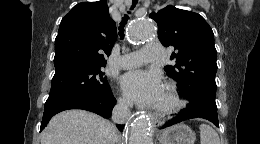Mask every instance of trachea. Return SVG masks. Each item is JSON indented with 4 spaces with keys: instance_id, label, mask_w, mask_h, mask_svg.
<instances>
[{
    "instance_id": "trachea-1",
    "label": "trachea",
    "mask_w": 260,
    "mask_h": 144,
    "mask_svg": "<svg viewBox=\"0 0 260 144\" xmlns=\"http://www.w3.org/2000/svg\"><path fill=\"white\" fill-rule=\"evenodd\" d=\"M138 0H133L132 1V6H131V10L136 6ZM129 19V16L128 15H125L123 18H122V21L120 23V26H119V35L121 37V39L124 38V26L127 22V20Z\"/></svg>"
}]
</instances>
